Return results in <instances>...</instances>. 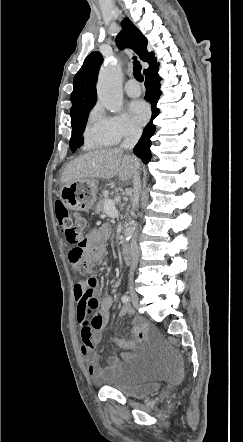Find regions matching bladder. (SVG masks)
Wrapping results in <instances>:
<instances>
[{"label": "bladder", "mask_w": 243, "mask_h": 442, "mask_svg": "<svg viewBox=\"0 0 243 442\" xmlns=\"http://www.w3.org/2000/svg\"><path fill=\"white\" fill-rule=\"evenodd\" d=\"M154 360L141 353L129 354L121 360L103 387L120 393L141 398L155 393L160 388L156 376Z\"/></svg>", "instance_id": "31cf9c89"}]
</instances>
